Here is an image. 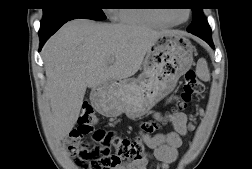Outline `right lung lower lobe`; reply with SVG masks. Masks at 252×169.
Segmentation results:
<instances>
[{"instance_id": "98d812e1", "label": "right lung lower lobe", "mask_w": 252, "mask_h": 169, "mask_svg": "<svg viewBox=\"0 0 252 169\" xmlns=\"http://www.w3.org/2000/svg\"><path fill=\"white\" fill-rule=\"evenodd\" d=\"M67 21H69V20H62V21L53 23L49 26L40 27V30H39L40 50H41L42 46L44 45V43L46 42V40L51 35H53Z\"/></svg>"}]
</instances>
